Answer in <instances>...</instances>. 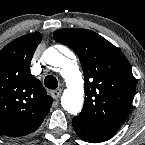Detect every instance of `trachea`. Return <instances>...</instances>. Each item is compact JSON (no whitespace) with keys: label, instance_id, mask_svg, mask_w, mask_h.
Masks as SVG:
<instances>
[{"label":"trachea","instance_id":"obj_1","mask_svg":"<svg viewBox=\"0 0 145 145\" xmlns=\"http://www.w3.org/2000/svg\"><path fill=\"white\" fill-rule=\"evenodd\" d=\"M44 84L47 88L52 90L58 87V81L53 75H47L44 79Z\"/></svg>","mask_w":145,"mask_h":145}]
</instances>
